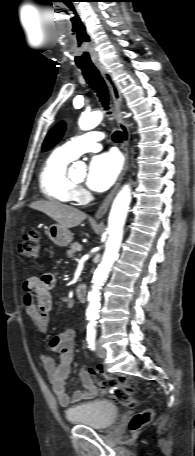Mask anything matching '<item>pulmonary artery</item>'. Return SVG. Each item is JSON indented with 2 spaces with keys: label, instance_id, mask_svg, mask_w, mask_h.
<instances>
[{
  "label": "pulmonary artery",
  "instance_id": "1",
  "mask_svg": "<svg viewBox=\"0 0 195 456\" xmlns=\"http://www.w3.org/2000/svg\"><path fill=\"white\" fill-rule=\"evenodd\" d=\"M103 138V133L91 131L66 142L60 149L70 158L76 159L85 152L99 151Z\"/></svg>",
  "mask_w": 195,
  "mask_h": 456
}]
</instances>
